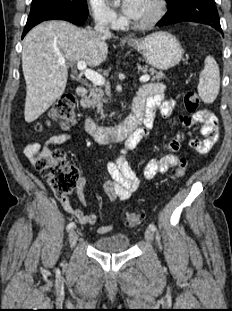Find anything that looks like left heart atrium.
Instances as JSON below:
<instances>
[{
	"label": "left heart atrium",
	"instance_id": "1",
	"mask_svg": "<svg viewBox=\"0 0 232 311\" xmlns=\"http://www.w3.org/2000/svg\"><path fill=\"white\" fill-rule=\"evenodd\" d=\"M145 0H122L123 13L131 18H137L144 7Z\"/></svg>",
	"mask_w": 232,
	"mask_h": 311
}]
</instances>
